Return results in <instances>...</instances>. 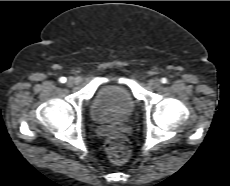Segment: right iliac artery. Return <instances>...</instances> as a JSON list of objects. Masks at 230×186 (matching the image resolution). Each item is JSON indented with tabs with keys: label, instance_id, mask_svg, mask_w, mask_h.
I'll use <instances>...</instances> for the list:
<instances>
[{
	"label": "right iliac artery",
	"instance_id": "82829eb1",
	"mask_svg": "<svg viewBox=\"0 0 230 186\" xmlns=\"http://www.w3.org/2000/svg\"><path fill=\"white\" fill-rule=\"evenodd\" d=\"M59 82H60V83H65V82H66V78H65V77L59 78Z\"/></svg>",
	"mask_w": 230,
	"mask_h": 186
}]
</instances>
